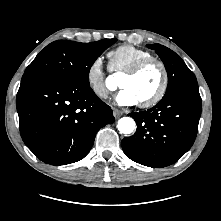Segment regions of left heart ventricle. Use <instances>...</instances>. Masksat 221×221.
Segmentation results:
<instances>
[{
    "instance_id": "1",
    "label": "left heart ventricle",
    "mask_w": 221,
    "mask_h": 221,
    "mask_svg": "<svg viewBox=\"0 0 221 221\" xmlns=\"http://www.w3.org/2000/svg\"><path fill=\"white\" fill-rule=\"evenodd\" d=\"M161 79L160 67L152 63L135 76H121L119 86L129 89L137 97L138 102H141L154 95L161 84Z\"/></svg>"
}]
</instances>
